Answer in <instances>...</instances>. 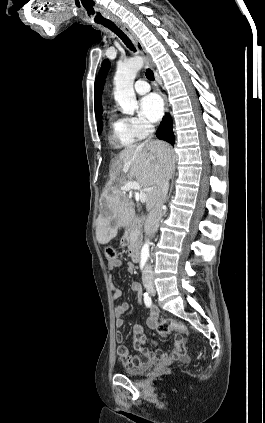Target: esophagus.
<instances>
[{
    "mask_svg": "<svg viewBox=\"0 0 265 423\" xmlns=\"http://www.w3.org/2000/svg\"><path fill=\"white\" fill-rule=\"evenodd\" d=\"M113 20L122 28V30L133 41V43L135 44L139 53L144 57L147 66L150 67L151 69H153L154 65H153V62H152V59H151L149 53L145 50L142 42L136 36V34L132 31V29L126 23H124L123 21H121L118 18H113ZM163 99H164V102H165V107H166V109H168L167 97L164 94H163Z\"/></svg>",
    "mask_w": 265,
    "mask_h": 423,
    "instance_id": "1",
    "label": "esophagus"
}]
</instances>
